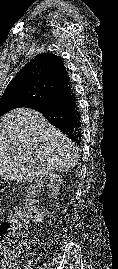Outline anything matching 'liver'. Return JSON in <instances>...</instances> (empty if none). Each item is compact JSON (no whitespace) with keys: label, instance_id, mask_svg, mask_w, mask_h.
Returning <instances> with one entry per match:
<instances>
[{"label":"liver","instance_id":"6515ba94","mask_svg":"<svg viewBox=\"0 0 118 269\" xmlns=\"http://www.w3.org/2000/svg\"><path fill=\"white\" fill-rule=\"evenodd\" d=\"M77 147L42 114L28 108L0 118V178L29 183L75 167Z\"/></svg>","mask_w":118,"mask_h":269}]
</instances>
